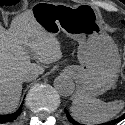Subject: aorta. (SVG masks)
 <instances>
[{
  "instance_id": "762f6f07",
  "label": "aorta",
  "mask_w": 125,
  "mask_h": 125,
  "mask_svg": "<svg viewBox=\"0 0 125 125\" xmlns=\"http://www.w3.org/2000/svg\"><path fill=\"white\" fill-rule=\"evenodd\" d=\"M54 87L60 95L70 96L74 92L75 84L70 77L61 75L54 80Z\"/></svg>"
}]
</instances>
